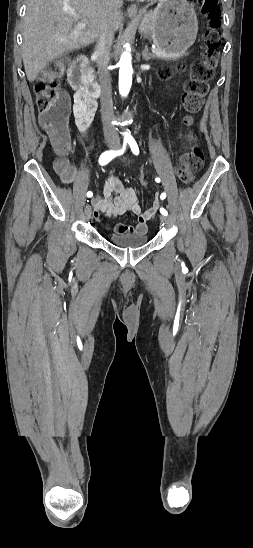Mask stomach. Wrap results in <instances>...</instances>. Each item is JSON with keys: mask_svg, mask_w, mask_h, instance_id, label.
Listing matches in <instances>:
<instances>
[{"mask_svg": "<svg viewBox=\"0 0 253 548\" xmlns=\"http://www.w3.org/2000/svg\"><path fill=\"white\" fill-rule=\"evenodd\" d=\"M139 32L168 53L185 54L197 36V16L187 0H161L143 13Z\"/></svg>", "mask_w": 253, "mask_h": 548, "instance_id": "stomach-1", "label": "stomach"}]
</instances>
